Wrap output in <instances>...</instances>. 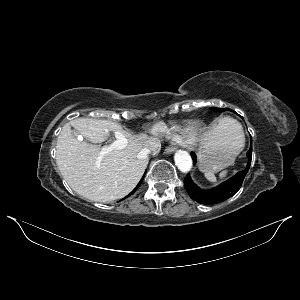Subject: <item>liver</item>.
<instances>
[{"instance_id": "liver-1", "label": "liver", "mask_w": 300, "mask_h": 300, "mask_svg": "<svg viewBox=\"0 0 300 300\" xmlns=\"http://www.w3.org/2000/svg\"><path fill=\"white\" fill-rule=\"evenodd\" d=\"M71 126L92 143L105 141L110 133H120L127 144L122 149L106 153L98 164L101 145L79 141ZM225 136V128L218 124L205 134L202 146L214 145ZM151 140L145 134L134 137L118 123L109 120L78 118L66 124L58 136L57 166L79 195L95 202H112L128 195L140 181L148 161L138 159L137 155L149 147Z\"/></svg>"}]
</instances>
